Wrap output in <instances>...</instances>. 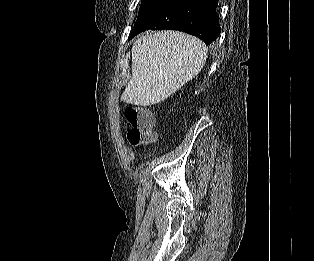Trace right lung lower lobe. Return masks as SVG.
<instances>
[{
    "label": "right lung lower lobe",
    "mask_w": 314,
    "mask_h": 261,
    "mask_svg": "<svg viewBox=\"0 0 314 261\" xmlns=\"http://www.w3.org/2000/svg\"><path fill=\"white\" fill-rule=\"evenodd\" d=\"M218 0H172L141 25H135L129 39L145 30H179L202 39L207 44L221 32L216 13Z\"/></svg>",
    "instance_id": "obj_1"
}]
</instances>
